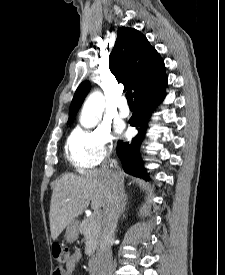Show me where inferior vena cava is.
<instances>
[{
	"label": "inferior vena cava",
	"mask_w": 225,
	"mask_h": 275,
	"mask_svg": "<svg viewBox=\"0 0 225 275\" xmlns=\"http://www.w3.org/2000/svg\"><path fill=\"white\" fill-rule=\"evenodd\" d=\"M105 170L109 173V190L104 208L96 275H112L113 261L110 242L117 226L121 201L124 197L123 174L116 161L111 160Z\"/></svg>",
	"instance_id": "602c4592"
}]
</instances>
